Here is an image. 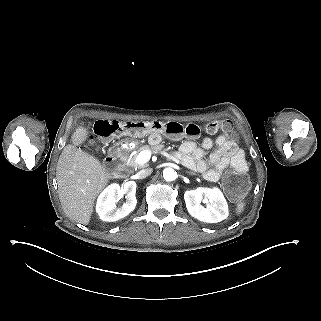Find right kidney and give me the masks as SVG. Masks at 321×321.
<instances>
[{
  "instance_id": "right-kidney-1",
  "label": "right kidney",
  "mask_w": 321,
  "mask_h": 321,
  "mask_svg": "<svg viewBox=\"0 0 321 321\" xmlns=\"http://www.w3.org/2000/svg\"><path fill=\"white\" fill-rule=\"evenodd\" d=\"M126 195V203L117 207L116 201ZM136 182L125 181L122 187L119 184H112L107 187L97 200V212L104 221H117L126 217L132 212L137 204Z\"/></svg>"
}]
</instances>
